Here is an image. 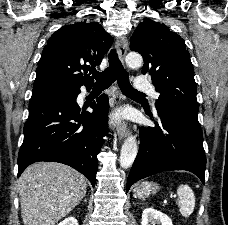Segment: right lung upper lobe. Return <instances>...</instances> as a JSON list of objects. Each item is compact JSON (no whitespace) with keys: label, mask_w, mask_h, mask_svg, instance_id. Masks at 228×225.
Masks as SVG:
<instances>
[{"label":"right lung upper lobe","mask_w":228,"mask_h":225,"mask_svg":"<svg viewBox=\"0 0 228 225\" xmlns=\"http://www.w3.org/2000/svg\"><path fill=\"white\" fill-rule=\"evenodd\" d=\"M112 43L113 38L97 22L81 21L63 26L43 49L33 88L91 86L93 78L87 74L90 65H99Z\"/></svg>","instance_id":"1"}]
</instances>
